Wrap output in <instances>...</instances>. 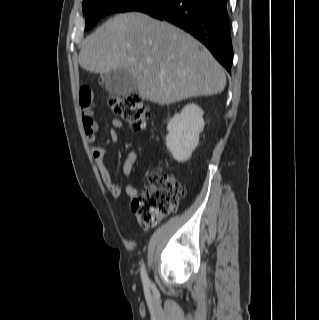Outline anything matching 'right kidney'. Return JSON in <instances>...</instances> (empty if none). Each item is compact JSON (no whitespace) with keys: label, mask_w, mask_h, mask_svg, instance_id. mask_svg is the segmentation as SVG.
Masks as SVG:
<instances>
[{"label":"right kidney","mask_w":319,"mask_h":320,"mask_svg":"<svg viewBox=\"0 0 319 320\" xmlns=\"http://www.w3.org/2000/svg\"><path fill=\"white\" fill-rule=\"evenodd\" d=\"M203 110L196 104L186 105L167 125L166 146L178 162L188 160L198 146L204 128Z\"/></svg>","instance_id":"ca27d5eb"}]
</instances>
